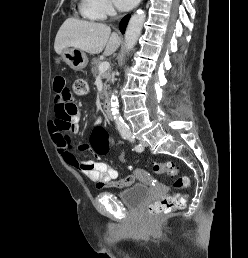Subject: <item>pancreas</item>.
<instances>
[{
    "mask_svg": "<svg viewBox=\"0 0 248 258\" xmlns=\"http://www.w3.org/2000/svg\"><path fill=\"white\" fill-rule=\"evenodd\" d=\"M101 64V61L98 60V59H92V62H91V66H92V73L94 76H97L99 74V65ZM102 79H105L106 82L104 83L103 85V90L101 91L100 93V97L103 98L104 95L107 94V89L109 88V84L108 82L111 81V72L108 70V71H105L103 74H102Z\"/></svg>",
    "mask_w": 248,
    "mask_h": 258,
    "instance_id": "1",
    "label": "pancreas"
}]
</instances>
